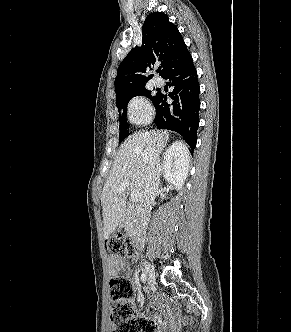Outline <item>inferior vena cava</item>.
I'll list each match as a JSON object with an SVG mask.
<instances>
[{
  "label": "inferior vena cava",
  "mask_w": 291,
  "mask_h": 332,
  "mask_svg": "<svg viewBox=\"0 0 291 332\" xmlns=\"http://www.w3.org/2000/svg\"><path fill=\"white\" fill-rule=\"evenodd\" d=\"M161 175V165L159 161V155L153 151L149 152L148 167L144 179V209L141 214V229L144 238L140 239L141 249L144 248L146 230L148 227V221L154 200L158 192Z\"/></svg>",
  "instance_id": "inferior-vena-cava-1"
}]
</instances>
